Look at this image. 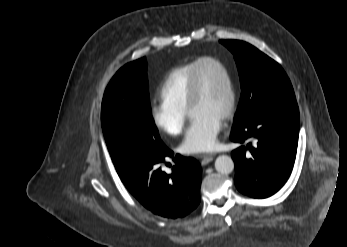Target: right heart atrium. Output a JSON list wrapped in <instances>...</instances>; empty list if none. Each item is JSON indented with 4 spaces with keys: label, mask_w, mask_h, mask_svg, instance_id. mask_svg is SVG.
<instances>
[{
    "label": "right heart atrium",
    "mask_w": 347,
    "mask_h": 247,
    "mask_svg": "<svg viewBox=\"0 0 347 247\" xmlns=\"http://www.w3.org/2000/svg\"><path fill=\"white\" fill-rule=\"evenodd\" d=\"M150 115L154 126L168 136L179 135L185 125L186 111L174 108L163 102L153 104Z\"/></svg>",
    "instance_id": "1"
}]
</instances>
